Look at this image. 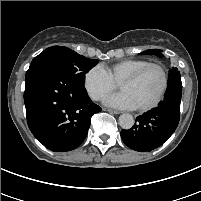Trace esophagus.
I'll return each instance as SVG.
<instances>
[{
	"label": "esophagus",
	"instance_id": "obj_1",
	"mask_svg": "<svg viewBox=\"0 0 201 201\" xmlns=\"http://www.w3.org/2000/svg\"><path fill=\"white\" fill-rule=\"evenodd\" d=\"M103 110H104V111H107V112H109V113H112V114H120L119 111L113 110V109H110V108H104Z\"/></svg>",
	"mask_w": 201,
	"mask_h": 201
}]
</instances>
